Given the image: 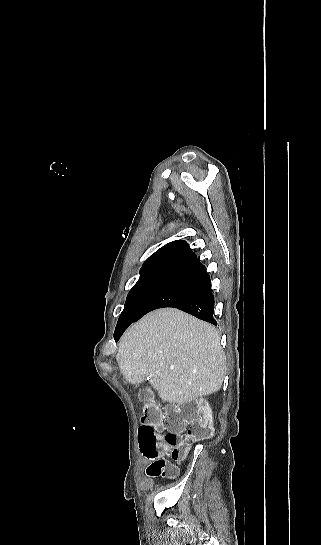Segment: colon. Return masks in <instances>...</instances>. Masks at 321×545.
Masks as SVG:
<instances>
[{
  "mask_svg": "<svg viewBox=\"0 0 321 545\" xmlns=\"http://www.w3.org/2000/svg\"><path fill=\"white\" fill-rule=\"evenodd\" d=\"M139 397L144 406L142 425L138 433L141 452L147 458L158 459L161 442L158 431L164 426L167 430L164 440L172 459L176 461L186 457L190 443L213 436L212 417L204 405L188 403L164 409L154 401L148 390L141 391ZM176 474L177 471L172 464L165 460L158 461L155 476L174 477Z\"/></svg>",
  "mask_w": 321,
  "mask_h": 545,
  "instance_id": "1",
  "label": "colon"
}]
</instances>
